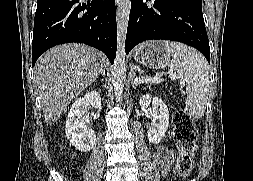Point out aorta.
Instances as JSON below:
<instances>
[{"mask_svg":"<svg viewBox=\"0 0 253 181\" xmlns=\"http://www.w3.org/2000/svg\"><path fill=\"white\" fill-rule=\"evenodd\" d=\"M117 1V50L113 64L114 93L118 102L122 101L126 73V35L131 10V0Z\"/></svg>","mask_w":253,"mask_h":181,"instance_id":"1","label":"aorta"}]
</instances>
